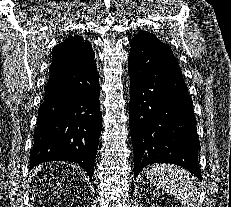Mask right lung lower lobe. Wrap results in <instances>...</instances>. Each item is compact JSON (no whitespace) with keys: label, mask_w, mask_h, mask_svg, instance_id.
I'll list each match as a JSON object with an SVG mask.
<instances>
[{"label":"right lung lower lobe","mask_w":231,"mask_h":207,"mask_svg":"<svg viewBox=\"0 0 231 207\" xmlns=\"http://www.w3.org/2000/svg\"><path fill=\"white\" fill-rule=\"evenodd\" d=\"M99 96L94 56L73 70L51 65L34 130L30 169L47 161H70L92 178L101 132Z\"/></svg>","instance_id":"obj_1"}]
</instances>
